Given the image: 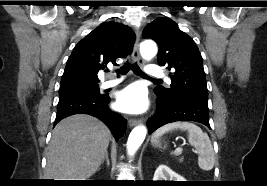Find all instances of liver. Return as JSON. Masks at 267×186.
<instances>
[{
  "instance_id": "1",
  "label": "liver",
  "mask_w": 267,
  "mask_h": 186,
  "mask_svg": "<svg viewBox=\"0 0 267 186\" xmlns=\"http://www.w3.org/2000/svg\"><path fill=\"white\" fill-rule=\"evenodd\" d=\"M111 133L98 119L78 114L60 121L47 151L45 178L86 180L99 168Z\"/></svg>"
}]
</instances>
